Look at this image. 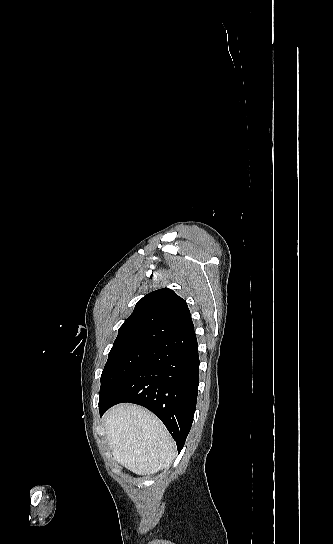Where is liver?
<instances>
[{
	"mask_svg": "<svg viewBox=\"0 0 333 544\" xmlns=\"http://www.w3.org/2000/svg\"><path fill=\"white\" fill-rule=\"evenodd\" d=\"M104 427L116 462L138 475L168 468L175 458V443L148 410L120 404L104 415Z\"/></svg>",
	"mask_w": 333,
	"mask_h": 544,
	"instance_id": "6515ba94",
	"label": "liver"
}]
</instances>
